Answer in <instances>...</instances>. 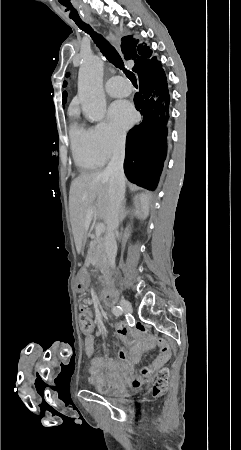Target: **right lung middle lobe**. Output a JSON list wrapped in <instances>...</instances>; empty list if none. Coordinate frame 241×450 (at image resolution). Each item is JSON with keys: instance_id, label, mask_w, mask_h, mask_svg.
Instances as JSON below:
<instances>
[{"instance_id": "1", "label": "right lung middle lobe", "mask_w": 241, "mask_h": 450, "mask_svg": "<svg viewBox=\"0 0 241 450\" xmlns=\"http://www.w3.org/2000/svg\"><path fill=\"white\" fill-rule=\"evenodd\" d=\"M66 86V83H64V87ZM66 97H67V93L63 92V104L66 103Z\"/></svg>"}]
</instances>
